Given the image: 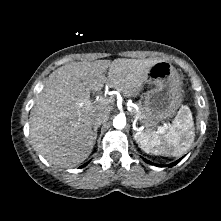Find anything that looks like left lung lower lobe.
I'll use <instances>...</instances> for the list:
<instances>
[{"label":"left lung lower lobe","mask_w":221,"mask_h":221,"mask_svg":"<svg viewBox=\"0 0 221 221\" xmlns=\"http://www.w3.org/2000/svg\"><path fill=\"white\" fill-rule=\"evenodd\" d=\"M183 158H184V157H182V158H180L179 160H177V161H175V162L169 164V167H172V166L176 165V164H177L178 162H180ZM144 160H145L148 164L156 165L157 167H165V166H166V165L154 164V163H152V162H150V161H148V160H146V159H144Z\"/></svg>","instance_id":"0a47b994"}]
</instances>
